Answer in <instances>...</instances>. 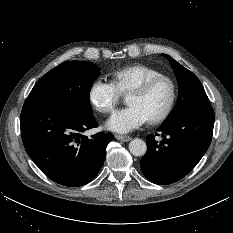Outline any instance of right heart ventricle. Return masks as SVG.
Instances as JSON below:
<instances>
[{
    "mask_svg": "<svg viewBox=\"0 0 233 233\" xmlns=\"http://www.w3.org/2000/svg\"><path fill=\"white\" fill-rule=\"evenodd\" d=\"M158 75H161V72L153 67L144 64H134L114 71L111 78L118 91L121 94H126L145 80Z\"/></svg>",
    "mask_w": 233,
    "mask_h": 233,
    "instance_id": "e07e8e85",
    "label": "right heart ventricle"
}]
</instances>
